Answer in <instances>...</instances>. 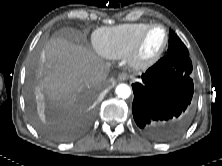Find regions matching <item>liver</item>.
<instances>
[{"mask_svg":"<svg viewBox=\"0 0 222 166\" xmlns=\"http://www.w3.org/2000/svg\"><path fill=\"white\" fill-rule=\"evenodd\" d=\"M45 50L47 62L43 67L46 74L43 82L48 101L56 107L68 108L73 104L75 88L82 82L87 83L91 70H105L107 74L110 67L89 48L63 38L51 39ZM100 83L87 84L96 87Z\"/></svg>","mask_w":222,"mask_h":166,"instance_id":"liver-1","label":"liver"}]
</instances>
